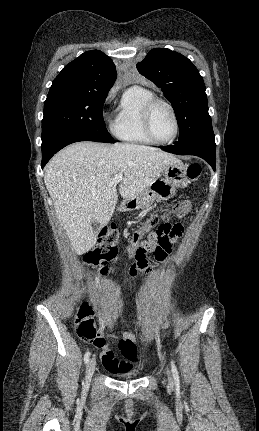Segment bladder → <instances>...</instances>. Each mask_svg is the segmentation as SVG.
Segmentation results:
<instances>
[{
  "mask_svg": "<svg viewBox=\"0 0 259 431\" xmlns=\"http://www.w3.org/2000/svg\"><path fill=\"white\" fill-rule=\"evenodd\" d=\"M116 378L123 379V380H129L138 378L140 376L139 372H128V373H120V374H114Z\"/></svg>",
  "mask_w": 259,
  "mask_h": 431,
  "instance_id": "1",
  "label": "bladder"
}]
</instances>
